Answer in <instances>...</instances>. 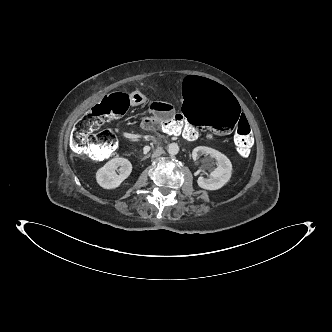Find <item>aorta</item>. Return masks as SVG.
<instances>
[{
    "label": "aorta",
    "mask_w": 332,
    "mask_h": 332,
    "mask_svg": "<svg viewBox=\"0 0 332 332\" xmlns=\"http://www.w3.org/2000/svg\"><path fill=\"white\" fill-rule=\"evenodd\" d=\"M178 152H179V146H178V144H176V143H171V144L168 146V153H169L170 155H176V154H178Z\"/></svg>",
    "instance_id": "aorta-1"
}]
</instances>
